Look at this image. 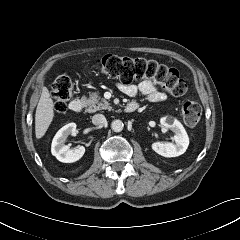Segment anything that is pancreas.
Masks as SVG:
<instances>
[{
    "label": "pancreas",
    "mask_w": 240,
    "mask_h": 240,
    "mask_svg": "<svg viewBox=\"0 0 240 240\" xmlns=\"http://www.w3.org/2000/svg\"><path fill=\"white\" fill-rule=\"evenodd\" d=\"M81 100L85 103L86 111L89 113L103 109H111L109 102L99 97L98 93H92L88 98L83 96Z\"/></svg>",
    "instance_id": "1"
}]
</instances>
